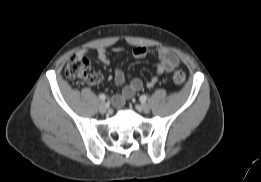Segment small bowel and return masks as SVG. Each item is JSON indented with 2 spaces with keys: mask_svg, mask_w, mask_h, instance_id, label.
<instances>
[{
  "mask_svg": "<svg viewBox=\"0 0 261 182\" xmlns=\"http://www.w3.org/2000/svg\"><path fill=\"white\" fill-rule=\"evenodd\" d=\"M113 52L120 53L123 51L120 47H115L112 49ZM89 52L88 49H83L77 52L76 56L84 57ZM97 57L104 64L110 63L109 53L104 48L97 49ZM150 53H155L158 57L156 63V73L151 79L146 83L148 88H152L157 83L158 79L165 74L171 72L174 68L179 65L178 57L165 47H156L153 49L139 46L131 51V56L135 59L143 58ZM102 81V76L100 74H92L91 78L88 80L90 84H98ZM114 82L117 86H122L125 82V74L121 68H116L114 72ZM143 87V82L140 78H133L129 84L123 87V89L113 96L112 101L116 106L123 105L124 101L136 92L140 91Z\"/></svg>",
  "mask_w": 261,
  "mask_h": 182,
  "instance_id": "1",
  "label": "small bowel"
}]
</instances>
